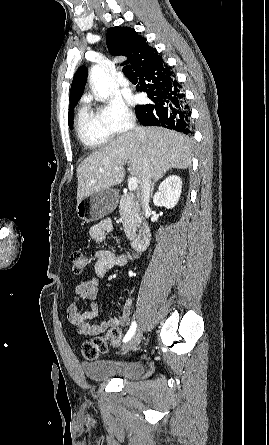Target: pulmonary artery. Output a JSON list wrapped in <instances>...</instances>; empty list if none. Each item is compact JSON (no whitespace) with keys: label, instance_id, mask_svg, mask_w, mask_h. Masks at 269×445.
<instances>
[{"label":"pulmonary artery","instance_id":"pulmonary-artery-1","mask_svg":"<svg viewBox=\"0 0 269 445\" xmlns=\"http://www.w3.org/2000/svg\"><path fill=\"white\" fill-rule=\"evenodd\" d=\"M117 83L119 86L121 87H127L129 86L130 82L127 78H125L124 76L120 75L117 79Z\"/></svg>","mask_w":269,"mask_h":445}]
</instances>
